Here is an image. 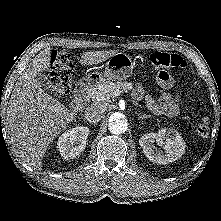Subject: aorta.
<instances>
[{
  "instance_id": "aorta-1",
  "label": "aorta",
  "mask_w": 221,
  "mask_h": 221,
  "mask_svg": "<svg viewBox=\"0 0 221 221\" xmlns=\"http://www.w3.org/2000/svg\"><path fill=\"white\" fill-rule=\"evenodd\" d=\"M128 128V120L119 112L111 114L108 121V129L112 134H122Z\"/></svg>"
}]
</instances>
